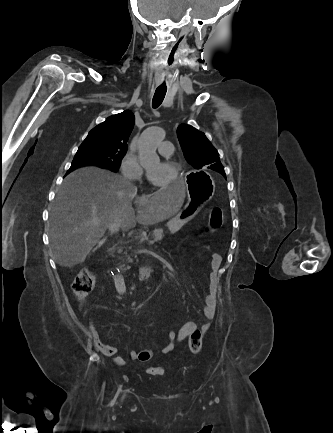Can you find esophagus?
<instances>
[{"mask_svg": "<svg viewBox=\"0 0 333 433\" xmlns=\"http://www.w3.org/2000/svg\"><path fill=\"white\" fill-rule=\"evenodd\" d=\"M141 199H142V200H146V195L143 194V195L141 196Z\"/></svg>", "mask_w": 333, "mask_h": 433, "instance_id": "esophagus-1", "label": "esophagus"}]
</instances>
